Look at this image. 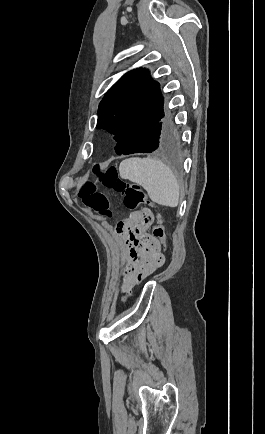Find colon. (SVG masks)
<instances>
[{
	"label": "colon",
	"instance_id": "5ec220e1",
	"mask_svg": "<svg viewBox=\"0 0 265 434\" xmlns=\"http://www.w3.org/2000/svg\"><path fill=\"white\" fill-rule=\"evenodd\" d=\"M96 171L91 168V177ZM100 184L108 189H113L122 196L123 204L128 210H137L141 206H150L151 202L145 191L137 184L129 183L119 178L118 169L115 166H109L99 176ZM82 202L89 209L107 215L106 198L104 193L93 183L88 182L84 185L81 192ZM155 227L153 228L154 240H161L162 246L165 243V232L163 230L162 220L159 216L154 215Z\"/></svg>",
	"mask_w": 265,
	"mask_h": 434
}]
</instances>
